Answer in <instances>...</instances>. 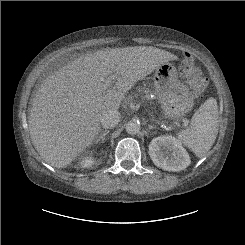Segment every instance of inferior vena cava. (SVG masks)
Returning a JSON list of instances; mask_svg holds the SVG:
<instances>
[{
	"instance_id": "inferior-vena-cava-1",
	"label": "inferior vena cava",
	"mask_w": 245,
	"mask_h": 245,
	"mask_svg": "<svg viewBox=\"0 0 245 245\" xmlns=\"http://www.w3.org/2000/svg\"><path fill=\"white\" fill-rule=\"evenodd\" d=\"M120 119L121 116L117 110H107L102 114L100 122L105 128H113L118 125Z\"/></svg>"
}]
</instances>
